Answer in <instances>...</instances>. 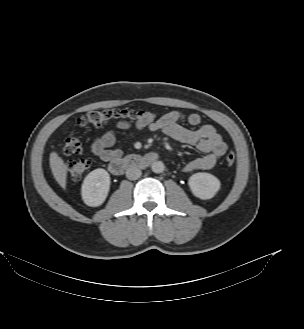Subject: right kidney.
Segmentation results:
<instances>
[{
    "label": "right kidney",
    "instance_id": "ca27d5eb",
    "mask_svg": "<svg viewBox=\"0 0 304 329\" xmlns=\"http://www.w3.org/2000/svg\"><path fill=\"white\" fill-rule=\"evenodd\" d=\"M110 189V176L102 168L91 171L84 179L81 195L84 203L91 207L100 206Z\"/></svg>",
    "mask_w": 304,
    "mask_h": 329
}]
</instances>
